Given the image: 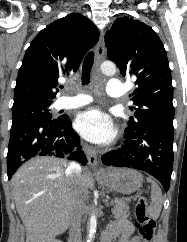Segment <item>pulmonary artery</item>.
I'll use <instances>...</instances> for the list:
<instances>
[{"mask_svg": "<svg viewBox=\"0 0 187 242\" xmlns=\"http://www.w3.org/2000/svg\"><path fill=\"white\" fill-rule=\"evenodd\" d=\"M106 92L110 97H121L124 94V84L117 79H111L107 83ZM89 101L90 98L86 95L63 97L59 103V107L64 109L75 108L83 106Z\"/></svg>", "mask_w": 187, "mask_h": 242, "instance_id": "1", "label": "pulmonary artery"}]
</instances>
